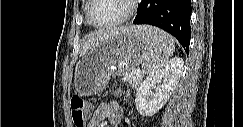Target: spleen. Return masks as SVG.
I'll return each instance as SVG.
<instances>
[{
	"mask_svg": "<svg viewBox=\"0 0 243 127\" xmlns=\"http://www.w3.org/2000/svg\"><path fill=\"white\" fill-rule=\"evenodd\" d=\"M140 34L143 35L148 44L142 69L151 74L162 68L173 55L174 39L166 32L150 26H142Z\"/></svg>",
	"mask_w": 243,
	"mask_h": 127,
	"instance_id": "1",
	"label": "spleen"
}]
</instances>
